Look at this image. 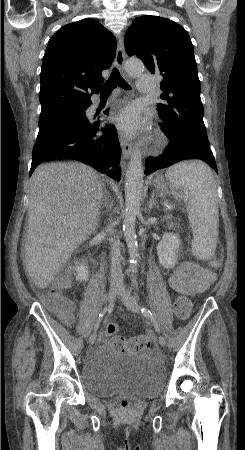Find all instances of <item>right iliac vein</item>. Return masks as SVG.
<instances>
[{"mask_svg": "<svg viewBox=\"0 0 245 450\" xmlns=\"http://www.w3.org/2000/svg\"><path fill=\"white\" fill-rule=\"evenodd\" d=\"M120 290V286L119 285H111L110 286V290H109V295H108V302H112L114 300V298L116 297V295L118 294ZM97 338V334L96 332H93L89 338V342L91 344H93L95 342Z\"/></svg>", "mask_w": 245, "mask_h": 450, "instance_id": "63e3f726", "label": "right iliac vein"}]
</instances>
